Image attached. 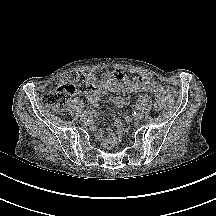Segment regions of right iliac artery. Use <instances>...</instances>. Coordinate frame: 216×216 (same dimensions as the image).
Masks as SVG:
<instances>
[{
	"label": "right iliac artery",
	"instance_id": "1",
	"mask_svg": "<svg viewBox=\"0 0 216 216\" xmlns=\"http://www.w3.org/2000/svg\"><path fill=\"white\" fill-rule=\"evenodd\" d=\"M89 112H90V110H84V111H83V114H87V113H89ZM83 114H82V115H83Z\"/></svg>",
	"mask_w": 216,
	"mask_h": 216
}]
</instances>
